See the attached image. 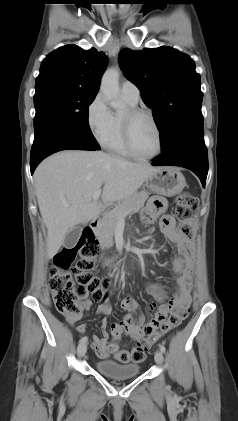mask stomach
<instances>
[{
	"instance_id": "1",
	"label": "stomach",
	"mask_w": 238,
	"mask_h": 421,
	"mask_svg": "<svg viewBox=\"0 0 238 421\" xmlns=\"http://www.w3.org/2000/svg\"><path fill=\"white\" fill-rule=\"evenodd\" d=\"M146 186L158 194L171 197L182 192L186 181L178 169L160 167L146 179Z\"/></svg>"
}]
</instances>
